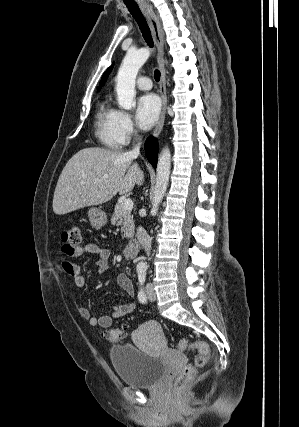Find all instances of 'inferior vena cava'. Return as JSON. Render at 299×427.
Listing matches in <instances>:
<instances>
[{
	"instance_id": "inferior-vena-cava-1",
	"label": "inferior vena cava",
	"mask_w": 299,
	"mask_h": 427,
	"mask_svg": "<svg viewBox=\"0 0 299 427\" xmlns=\"http://www.w3.org/2000/svg\"><path fill=\"white\" fill-rule=\"evenodd\" d=\"M139 149H140V143H138L134 149L131 151L132 154L138 155L139 153ZM137 239L139 241V243L142 245V247L144 248L145 252L147 253V255L149 256L150 251H151V237L147 234V232L145 231V229L141 226H139L137 228V233H136Z\"/></svg>"
}]
</instances>
